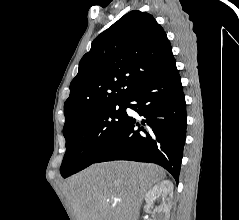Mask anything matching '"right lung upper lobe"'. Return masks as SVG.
Instances as JSON below:
<instances>
[{
  "label": "right lung upper lobe",
  "instance_id": "cb5924a9",
  "mask_svg": "<svg viewBox=\"0 0 239 220\" xmlns=\"http://www.w3.org/2000/svg\"><path fill=\"white\" fill-rule=\"evenodd\" d=\"M174 60L163 28L146 12L131 11L102 32L80 63L64 104V129L96 109L125 102Z\"/></svg>",
  "mask_w": 239,
  "mask_h": 220
}]
</instances>
